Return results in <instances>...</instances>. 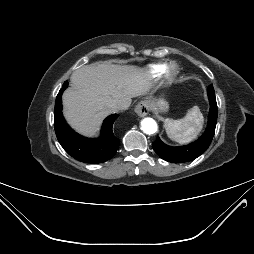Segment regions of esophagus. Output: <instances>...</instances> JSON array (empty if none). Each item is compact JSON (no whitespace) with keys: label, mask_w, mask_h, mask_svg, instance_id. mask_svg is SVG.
<instances>
[{"label":"esophagus","mask_w":254,"mask_h":254,"mask_svg":"<svg viewBox=\"0 0 254 254\" xmlns=\"http://www.w3.org/2000/svg\"><path fill=\"white\" fill-rule=\"evenodd\" d=\"M135 112L140 116L144 117L150 112V103L147 100H142L138 102L135 107Z\"/></svg>","instance_id":"1"}]
</instances>
